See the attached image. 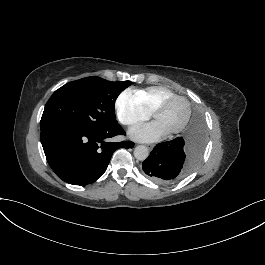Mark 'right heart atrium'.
<instances>
[{
    "mask_svg": "<svg viewBox=\"0 0 265 265\" xmlns=\"http://www.w3.org/2000/svg\"><path fill=\"white\" fill-rule=\"evenodd\" d=\"M116 106L121 121L128 126L141 124L151 117V112L141 100L128 92L118 98Z\"/></svg>",
    "mask_w": 265,
    "mask_h": 265,
    "instance_id": "1",
    "label": "right heart atrium"
}]
</instances>
